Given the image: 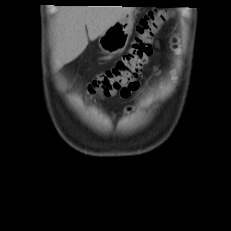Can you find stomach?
Returning <instances> with one entry per match:
<instances>
[{"label":"stomach","mask_w":231,"mask_h":231,"mask_svg":"<svg viewBox=\"0 0 231 231\" xmlns=\"http://www.w3.org/2000/svg\"><path fill=\"white\" fill-rule=\"evenodd\" d=\"M132 13L125 15L109 27L99 38V46L104 53L117 54L122 52L130 38L133 29Z\"/></svg>","instance_id":"stomach-1"}]
</instances>
